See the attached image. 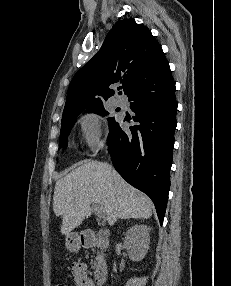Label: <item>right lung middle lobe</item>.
I'll return each instance as SVG.
<instances>
[{"instance_id":"1","label":"right lung middle lobe","mask_w":231,"mask_h":286,"mask_svg":"<svg viewBox=\"0 0 231 286\" xmlns=\"http://www.w3.org/2000/svg\"><path fill=\"white\" fill-rule=\"evenodd\" d=\"M83 111L79 110L70 114H67L65 116H62V122H61V132H60V147L67 145V137L70 133V130L72 129L77 116ZM86 112H95L97 114H100L102 116H106L108 114L107 111L104 110L102 104H98L92 107L87 108ZM109 127L114 123L113 118H108Z\"/></svg>"}]
</instances>
